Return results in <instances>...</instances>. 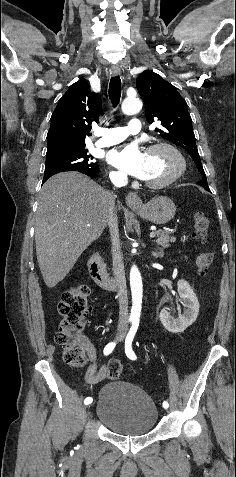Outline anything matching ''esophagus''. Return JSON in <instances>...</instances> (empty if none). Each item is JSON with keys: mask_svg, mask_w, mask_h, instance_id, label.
Returning a JSON list of instances; mask_svg holds the SVG:
<instances>
[{"mask_svg": "<svg viewBox=\"0 0 236 477\" xmlns=\"http://www.w3.org/2000/svg\"><path fill=\"white\" fill-rule=\"evenodd\" d=\"M110 72L113 76H117L120 74V68L114 65L112 66ZM125 201L127 206L134 210H140L143 206L141 198L134 192L128 193Z\"/></svg>", "mask_w": 236, "mask_h": 477, "instance_id": "1", "label": "esophagus"}]
</instances>
